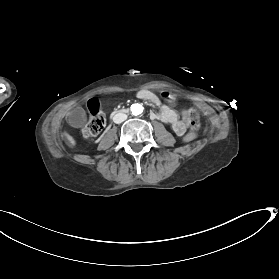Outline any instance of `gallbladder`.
Segmentation results:
<instances>
[{
	"instance_id": "1",
	"label": "gallbladder",
	"mask_w": 279,
	"mask_h": 279,
	"mask_svg": "<svg viewBox=\"0 0 279 279\" xmlns=\"http://www.w3.org/2000/svg\"><path fill=\"white\" fill-rule=\"evenodd\" d=\"M69 119L71 123H73L76 126L83 125L86 123L87 118L85 115L82 114V112L75 110L71 112Z\"/></svg>"
}]
</instances>
